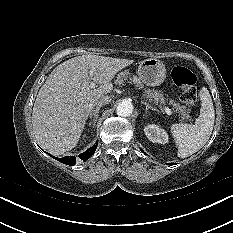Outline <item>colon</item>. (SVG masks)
Returning <instances> with one entry per match:
<instances>
[{
  "label": "colon",
  "instance_id": "1",
  "mask_svg": "<svg viewBox=\"0 0 233 233\" xmlns=\"http://www.w3.org/2000/svg\"><path fill=\"white\" fill-rule=\"evenodd\" d=\"M174 83L179 87L180 100L186 105L193 106L196 101V76L185 67H175L171 73Z\"/></svg>",
  "mask_w": 233,
  "mask_h": 233
}]
</instances>
